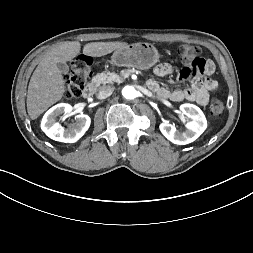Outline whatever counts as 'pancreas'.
Instances as JSON below:
<instances>
[{
  "label": "pancreas",
  "mask_w": 253,
  "mask_h": 253,
  "mask_svg": "<svg viewBox=\"0 0 253 253\" xmlns=\"http://www.w3.org/2000/svg\"><path fill=\"white\" fill-rule=\"evenodd\" d=\"M122 81H123L122 77L109 71L98 73L93 79V82L96 85L106 84V83L112 84L114 82H122Z\"/></svg>",
  "instance_id": "1"
}]
</instances>
